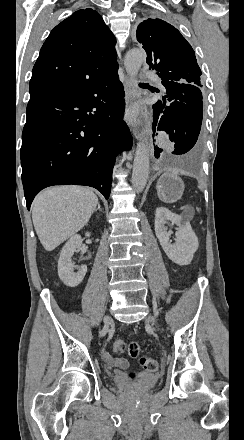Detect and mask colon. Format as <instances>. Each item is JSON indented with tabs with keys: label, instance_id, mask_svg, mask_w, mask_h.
<instances>
[{
	"label": "colon",
	"instance_id": "1",
	"mask_svg": "<svg viewBox=\"0 0 244 440\" xmlns=\"http://www.w3.org/2000/svg\"><path fill=\"white\" fill-rule=\"evenodd\" d=\"M126 351L130 357H138L141 353V346L139 343L126 344L122 338H118L112 342V354L121 355ZM140 364L146 371L152 374L156 373L159 367L154 357H141Z\"/></svg>",
	"mask_w": 244,
	"mask_h": 440
}]
</instances>
